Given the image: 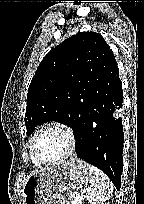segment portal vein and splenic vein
Masks as SVG:
<instances>
[{
	"label": "portal vein and splenic vein",
	"mask_w": 144,
	"mask_h": 204,
	"mask_svg": "<svg viewBox=\"0 0 144 204\" xmlns=\"http://www.w3.org/2000/svg\"><path fill=\"white\" fill-rule=\"evenodd\" d=\"M84 196L81 195L79 197H76L74 200H72V204H81L82 200H84Z\"/></svg>",
	"instance_id": "18ae733b"
}]
</instances>
